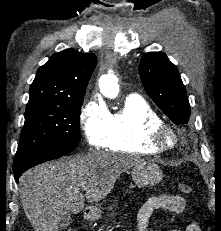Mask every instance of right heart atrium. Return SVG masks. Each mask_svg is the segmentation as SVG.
Listing matches in <instances>:
<instances>
[{"label":"right heart atrium","mask_w":221,"mask_h":231,"mask_svg":"<svg viewBox=\"0 0 221 231\" xmlns=\"http://www.w3.org/2000/svg\"><path fill=\"white\" fill-rule=\"evenodd\" d=\"M110 115L106 105L96 98L90 99L84 105L80 123L85 139L93 148H100L105 145Z\"/></svg>","instance_id":"d8ad5b80"}]
</instances>
